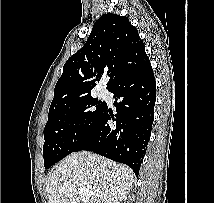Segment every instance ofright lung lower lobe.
<instances>
[{"label": "right lung lower lobe", "mask_w": 214, "mask_h": 203, "mask_svg": "<svg viewBox=\"0 0 214 203\" xmlns=\"http://www.w3.org/2000/svg\"><path fill=\"white\" fill-rule=\"evenodd\" d=\"M156 81L151 64L114 84L117 114L105 104L87 136L75 147L131 167L138 176L154 120ZM108 120L113 124L109 125Z\"/></svg>", "instance_id": "1"}]
</instances>
